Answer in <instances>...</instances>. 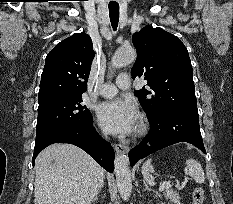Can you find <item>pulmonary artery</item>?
<instances>
[{"label": "pulmonary artery", "instance_id": "1", "mask_svg": "<svg viewBox=\"0 0 233 204\" xmlns=\"http://www.w3.org/2000/svg\"><path fill=\"white\" fill-rule=\"evenodd\" d=\"M130 87V77L121 74L117 77L116 83H105L99 88V94L103 97H112L117 94L118 89H128Z\"/></svg>", "mask_w": 233, "mask_h": 204}]
</instances>
